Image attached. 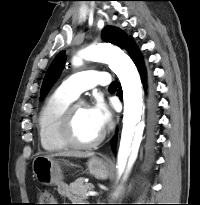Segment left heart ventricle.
Here are the masks:
<instances>
[{
	"mask_svg": "<svg viewBox=\"0 0 200 205\" xmlns=\"http://www.w3.org/2000/svg\"><path fill=\"white\" fill-rule=\"evenodd\" d=\"M73 131L76 139L81 142H90L102 132L94 122L89 108L83 105L75 112Z\"/></svg>",
	"mask_w": 200,
	"mask_h": 205,
	"instance_id": "b2bd125f",
	"label": "left heart ventricle"
}]
</instances>
